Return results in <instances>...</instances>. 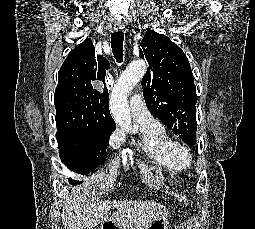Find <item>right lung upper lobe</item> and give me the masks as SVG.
<instances>
[{
    "mask_svg": "<svg viewBox=\"0 0 255 229\" xmlns=\"http://www.w3.org/2000/svg\"><path fill=\"white\" fill-rule=\"evenodd\" d=\"M94 52L91 39H85L69 53L59 70L54 102L60 132L110 135L116 128L105 86L110 65ZM95 80L102 81L104 88L93 87Z\"/></svg>",
    "mask_w": 255,
    "mask_h": 229,
    "instance_id": "obj_1",
    "label": "right lung upper lobe"
}]
</instances>
